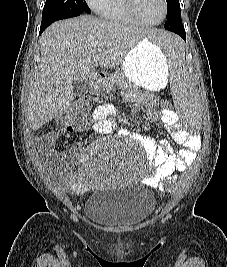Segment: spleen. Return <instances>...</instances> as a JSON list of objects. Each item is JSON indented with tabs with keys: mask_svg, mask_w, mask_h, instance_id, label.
Instances as JSON below:
<instances>
[{
	"mask_svg": "<svg viewBox=\"0 0 227 267\" xmlns=\"http://www.w3.org/2000/svg\"><path fill=\"white\" fill-rule=\"evenodd\" d=\"M151 41L157 43L163 55H166L169 67L170 82L174 89L175 105H200V100H195V93L191 86L192 76H189L190 63H184L183 55H187L186 46L179 42L175 33H154ZM178 115H201L200 106H176ZM201 116H179V125L182 129H191V134H198V129H203L200 124Z\"/></svg>",
	"mask_w": 227,
	"mask_h": 267,
	"instance_id": "3e777b00",
	"label": "spleen"
}]
</instances>
